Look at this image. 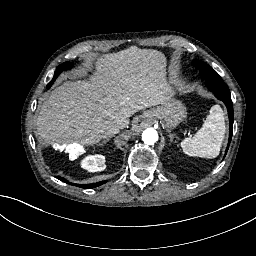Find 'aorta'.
Masks as SVG:
<instances>
[{
	"label": "aorta",
	"mask_w": 256,
	"mask_h": 256,
	"mask_svg": "<svg viewBox=\"0 0 256 256\" xmlns=\"http://www.w3.org/2000/svg\"><path fill=\"white\" fill-rule=\"evenodd\" d=\"M144 133L146 134L145 139L143 136ZM158 139H159V134L153 128H148V129L144 130L142 133V140L147 145H154L158 141Z\"/></svg>",
	"instance_id": "obj_1"
}]
</instances>
